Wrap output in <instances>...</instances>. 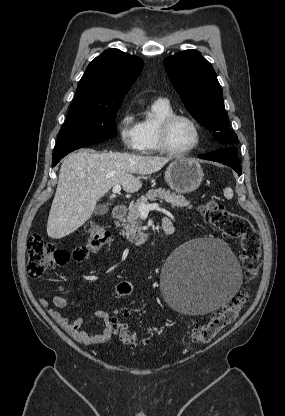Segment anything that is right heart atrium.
<instances>
[{
    "mask_svg": "<svg viewBox=\"0 0 285 416\" xmlns=\"http://www.w3.org/2000/svg\"><path fill=\"white\" fill-rule=\"evenodd\" d=\"M119 137L125 149L133 152L142 150L139 119L132 109L122 111L119 119Z\"/></svg>",
    "mask_w": 285,
    "mask_h": 416,
    "instance_id": "obj_1",
    "label": "right heart atrium"
}]
</instances>
